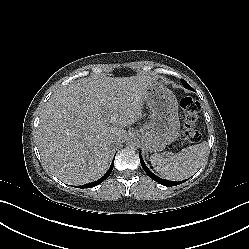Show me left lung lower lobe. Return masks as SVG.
I'll return each instance as SVG.
<instances>
[{
	"label": "left lung lower lobe",
	"instance_id": "0a47b994",
	"mask_svg": "<svg viewBox=\"0 0 249 249\" xmlns=\"http://www.w3.org/2000/svg\"><path fill=\"white\" fill-rule=\"evenodd\" d=\"M139 157H140V162H141V165H142V168L145 170V172L156 182L164 185V186H174L181 183V182H173V181H168V180H164V179H161L159 177H157L156 175H154L153 173H151V171L146 167L143 159H142V156L141 154H139Z\"/></svg>",
	"mask_w": 249,
	"mask_h": 249
}]
</instances>
